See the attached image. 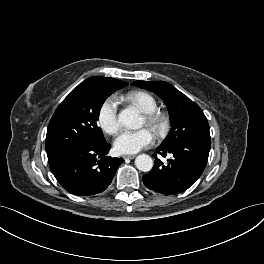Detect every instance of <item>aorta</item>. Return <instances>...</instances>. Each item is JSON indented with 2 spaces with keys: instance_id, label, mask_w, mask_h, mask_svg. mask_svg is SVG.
Listing matches in <instances>:
<instances>
[{
  "instance_id": "obj_1",
  "label": "aorta",
  "mask_w": 264,
  "mask_h": 264,
  "mask_svg": "<svg viewBox=\"0 0 264 264\" xmlns=\"http://www.w3.org/2000/svg\"><path fill=\"white\" fill-rule=\"evenodd\" d=\"M118 121L129 129H139L142 127L141 118L133 107L122 110L118 115ZM135 165L140 171L149 172L153 167V160L147 154H140L135 159Z\"/></svg>"
}]
</instances>
